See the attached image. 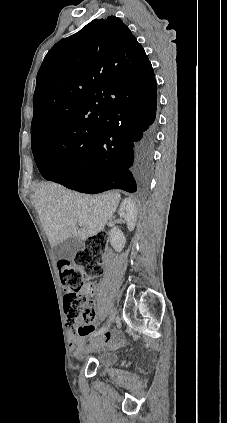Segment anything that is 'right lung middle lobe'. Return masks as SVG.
Masks as SVG:
<instances>
[{
  "instance_id": "obj_1",
  "label": "right lung middle lobe",
  "mask_w": 227,
  "mask_h": 423,
  "mask_svg": "<svg viewBox=\"0 0 227 423\" xmlns=\"http://www.w3.org/2000/svg\"><path fill=\"white\" fill-rule=\"evenodd\" d=\"M95 146V140L73 143L60 136H49L32 143V152L41 175L48 181L71 173L75 165Z\"/></svg>"
}]
</instances>
